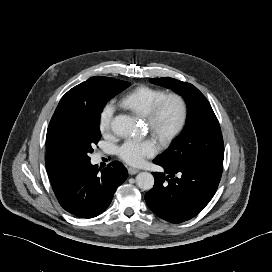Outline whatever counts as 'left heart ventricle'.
Returning a JSON list of instances; mask_svg holds the SVG:
<instances>
[{"label":"left heart ventricle","instance_id":"1","mask_svg":"<svg viewBox=\"0 0 272 272\" xmlns=\"http://www.w3.org/2000/svg\"><path fill=\"white\" fill-rule=\"evenodd\" d=\"M177 117V108L173 102H168L162 112L160 118V128L165 130L168 129Z\"/></svg>","mask_w":272,"mask_h":272}]
</instances>
